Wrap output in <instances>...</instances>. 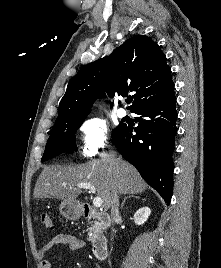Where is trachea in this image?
I'll return each instance as SVG.
<instances>
[{
  "label": "trachea",
  "mask_w": 221,
  "mask_h": 268,
  "mask_svg": "<svg viewBox=\"0 0 221 268\" xmlns=\"http://www.w3.org/2000/svg\"><path fill=\"white\" fill-rule=\"evenodd\" d=\"M131 101H132V100H127V103L129 104V103H131Z\"/></svg>",
  "instance_id": "obj_1"
}]
</instances>
